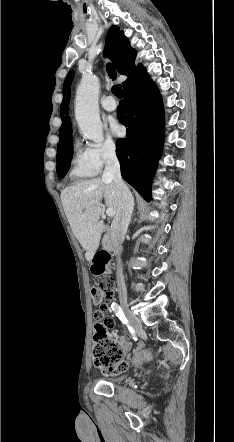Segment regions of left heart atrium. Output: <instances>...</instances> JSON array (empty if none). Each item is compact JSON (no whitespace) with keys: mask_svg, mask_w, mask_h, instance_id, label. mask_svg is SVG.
<instances>
[{"mask_svg":"<svg viewBox=\"0 0 234 442\" xmlns=\"http://www.w3.org/2000/svg\"><path fill=\"white\" fill-rule=\"evenodd\" d=\"M110 131L115 136H121L123 133L122 127L115 120L110 121Z\"/></svg>","mask_w":234,"mask_h":442,"instance_id":"39dd6f15","label":"left heart atrium"}]
</instances>
